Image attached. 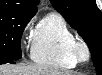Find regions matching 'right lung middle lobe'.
I'll return each instance as SVG.
<instances>
[{
	"mask_svg": "<svg viewBox=\"0 0 102 75\" xmlns=\"http://www.w3.org/2000/svg\"><path fill=\"white\" fill-rule=\"evenodd\" d=\"M33 16L13 11H0V61H15L21 58V36Z\"/></svg>",
	"mask_w": 102,
	"mask_h": 75,
	"instance_id": "obj_1",
	"label": "right lung middle lobe"
}]
</instances>
